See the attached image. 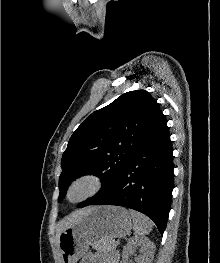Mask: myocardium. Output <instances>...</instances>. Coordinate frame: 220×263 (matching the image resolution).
<instances>
[{"label":"myocardium","instance_id":"obj_1","mask_svg":"<svg viewBox=\"0 0 220 263\" xmlns=\"http://www.w3.org/2000/svg\"><path fill=\"white\" fill-rule=\"evenodd\" d=\"M105 186L104 177L87 172L74 178L66 191V199L72 204L84 202L99 194Z\"/></svg>","mask_w":220,"mask_h":263}]
</instances>
